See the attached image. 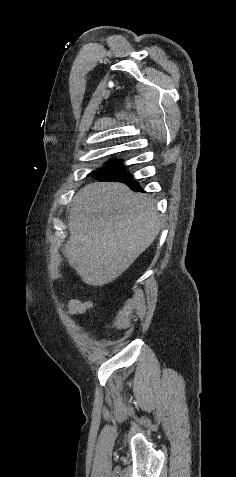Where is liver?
I'll list each match as a JSON object with an SVG mask.
<instances>
[{
	"label": "liver",
	"mask_w": 236,
	"mask_h": 477,
	"mask_svg": "<svg viewBox=\"0 0 236 477\" xmlns=\"http://www.w3.org/2000/svg\"><path fill=\"white\" fill-rule=\"evenodd\" d=\"M64 255L82 281L102 286L119 277L160 231L154 201L118 182H95L73 198Z\"/></svg>",
	"instance_id": "1"
}]
</instances>
